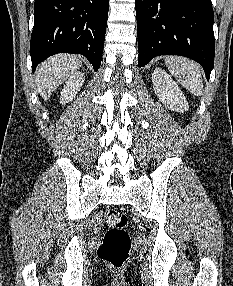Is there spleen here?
<instances>
[{
	"instance_id": "spleen-1",
	"label": "spleen",
	"mask_w": 233,
	"mask_h": 286,
	"mask_svg": "<svg viewBox=\"0 0 233 286\" xmlns=\"http://www.w3.org/2000/svg\"><path fill=\"white\" fill-rule=\"evenodd\" d=\"M165 63L181 85L195 96L202 95L203 79L200 65L181 56L165 57Z\"/></svg>"
}]
</instances>
